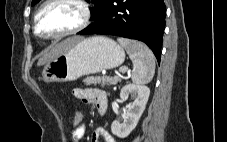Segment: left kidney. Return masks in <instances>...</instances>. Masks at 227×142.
<instances>
[{"instance_id": "1", "label": "left kidney", "mask_w": 227, "mask_h": 142, "mask_svg": "<svg viewBox=\"0 0 227 142\" xmlns=\"http://www.w3.org/2000/svg\"><path fill=\"white\" fill-rule=\"evenodd\" d=\"M129 95L134 101L127 105V112L123 123L120 124L115 120L111 125L112 134L119 138H126L137 126L145 110L150 95V89L144 85L127 84L121 89L120 98L125 101Z\"/></svg>"}]
</instances>
